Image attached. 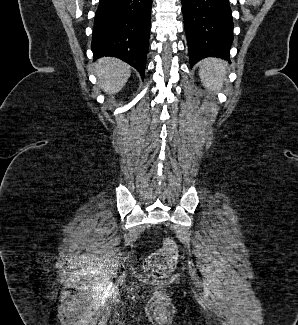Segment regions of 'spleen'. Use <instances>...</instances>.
<instances>
[{
  "label": "spleen",
  "mask_w": 298,
  "mask_h": 325,
  "mask_svg": "<svg viewBox=\"0 0 298 325\" xmlns=\"http://www.w3.org/2000/svg\"><path fill=\"white\" fill-rule=\"evenodd\" d=\"M226 62L221 58H204L199 66L200 80L207 90H220L225 80Z\"/></svg>",
  "instance_id": "3e777b00"
}]
</instances>
